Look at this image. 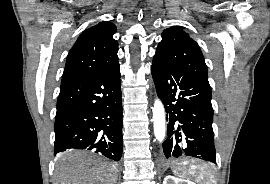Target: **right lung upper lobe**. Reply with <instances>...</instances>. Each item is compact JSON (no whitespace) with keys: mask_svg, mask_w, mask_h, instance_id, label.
Masks as SVG:
<instances>
[{"mask_svg":"<svg viewBox=\"0 0 270 184\" xmlns=\"http://www.w3.org/2000/svg\"><path fill=\"white\" fill-rule=\"evenodd\" d=\"M115 32V25L108 21L83 31L67 56L61 83L118 66Z\"/></svg>","mask_w":270,"mask_h":184,"instance_id":"obj_1","label":"right lung upper lobe"}]
</instances>
